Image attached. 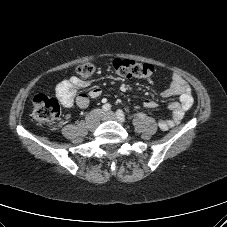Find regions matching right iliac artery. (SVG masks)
<instances>
[{
    "instance_id": "1",
    "label": "right iliac artery",
    "mask_w": 227,
    "mask_h": 227,
    "mask_svg": "<svg viewBox=\"0 0 227 227\" xmlns=\"http://www.w3.org/2000/svg\"><path fill=\"white\" fill-rule=\"evenodd\" d=\"M111 109V105L109 103H106L102 106L103 111H109Z\"/></svg>"
}]
</instances>
